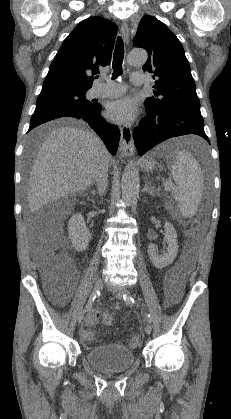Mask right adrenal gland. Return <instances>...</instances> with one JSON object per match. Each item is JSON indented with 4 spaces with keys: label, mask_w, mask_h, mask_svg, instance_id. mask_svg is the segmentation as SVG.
Wrapping results in <instances>:
<instances>
[{
    "label": "right adrenal gland",
    "mask_w": 231,
    "mask_h": 419,
    "mask_svg": "<svg viewBox=\"0 0 231 419\" xmlns=\"http://www.w3.org/2000/svg\"><path fill=\"white\" fill-rule=\"evenodd\" d=\"M92 195H96L97 192L95 190L91 191Z\"/></svg>",
    "instance_id": "right-adrenal-gland-1"
}]
</instances>
